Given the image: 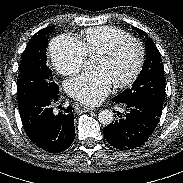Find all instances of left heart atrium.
Listing matches in <instances>:
<instances>
[{"mask_svg": "<svg viewBox=\"0 0 183 183\" xmlns=\"http://www.w3.org/2000/svg\"><path fill=\"white\" fill-rule=\"evenodd\" d=\"M112 83L102 71L82 74L66 84L67 93L86 104L96 105L109 93Z\"/></svg>", "mask_w": 183, "mask_h": 183, "instance_id": "obj_1", "label": "left heart atrium"}]
</instances>
